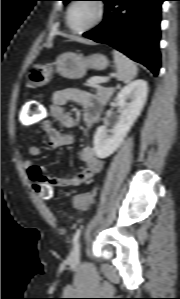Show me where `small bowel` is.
<instances>
[{
  "label": "small bowel",
  "mask_w": 180,
  "mask_h": 299,
  "mask_svg": "<svg viewBox=\"0 0 180 299\" xmlns=\"http://www.w3.org/2000/svg\"><path fill=\"white\" fill-rule=\"evenodd\" d=\"M69 102L78 103L84 108L83 121L87 128L94 127L99 121L102 104L93 93L78 88H69L55 92L50 101L51 116L62 126L69 129V131L62 132L57 129L50 120H43L41 128L48 136V145L50 147L57 148L66 146L73 143L75 140V134L71 129L75 127L76 121L64 109V106ZM39 154L40 150L37 146L32 145L28 148V155L31 158L37 157ZM80 156L85 164L83 170L76 173H69L64 176H50L47 174L45 168L34 165L28 160L24 164L27 171V177L34 183L51 182L52 184H57L62 187L80 186L86 183L94 175L98 174L103 168L102 159L95 155L92 147H84L81 150Z\"/></svg>",
  "instance_id": "c3829d8e"
}]
</instances>
